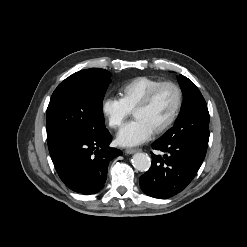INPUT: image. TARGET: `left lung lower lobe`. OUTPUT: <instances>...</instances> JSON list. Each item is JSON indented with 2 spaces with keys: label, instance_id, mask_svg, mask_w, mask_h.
Wrapping results in <instances>:
<instances>
[{
  "label": "left lung lower lobe",
  "instance_id": "0a47b994",
  "mask_svg": "<svg viewBox=\"0 0 247 247\" xmlns=\"http://www.w3.org/2000/svg\"><path fill=\"white\" fill-rule=\"evenodd\" d=\"M206 144L191 139H158L152 148L165 154H152L150 169L140 177L142 191L156 198H168L182 191L194 178L207 151Z\"/></svg>",
  "mask_w": 247,
  "mask_h": 247
}]
</instances>
